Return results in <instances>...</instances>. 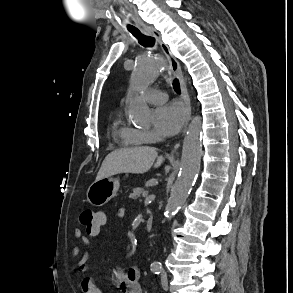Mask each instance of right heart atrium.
Returning a JSON list of instances; mask_svg holds the SVG:
<instances>
[{
	"label": "right heart atrium",
	"instance_id": "obj_1",
	"mask_svg": "<svg viewBox=\"0 0 293 293\" xmlns=\"http://www.w3.org/2000/svg\"><path fill=\"white\" fill-rule=\"evenodd\" d=\"M134 132L142 142L153 143L158 140V136L156 135V133L150 130H134Z\"/></svg>",
	"mask_w": 293,
	"mask_h": 293
}]
</instances>
